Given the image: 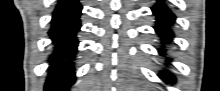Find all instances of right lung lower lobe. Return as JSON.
I'll return each mask as SVG.
<instances>
[{"label": "right lung lower lobe", "mask_w": 220, "mask_h": 91, "mask_svg": "<svg viewBox=\"0 0 220 91\" xmlns=\"http://www.w3.org/2000/svg\"><path fill=\"white\" fill-rule=\"evenodd\" d=\"M81 10L78 0H60L56 5L49 30L53 52L48 60L45 91L68 89L76 80L72 60L77 53Z\"/></svg>", "instance_id": "obj_1"}]
</instances>
